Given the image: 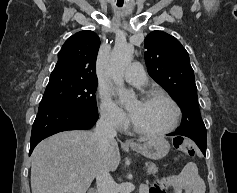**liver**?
Returning a JSON list of instances; mask_svg holds the SVG:
<instances>
[{
    "mask_svg": "<svg viewBox=\"0 0 237 193\" xmlns=\"http://www.w3.org/2000/svg\"><path fill=\"white\" fill-rule=\"evenodd\" d=\"M31 159L32 193H86L99 167L114 171L121 158L114 139L101 153L94 132L73 130L40 142Z\"/></svg>",
    "mask_w": 237,
    "mask_h": 193,
    "instance_id": "obj_1",
    "label": "liver"
}]
</instances>
